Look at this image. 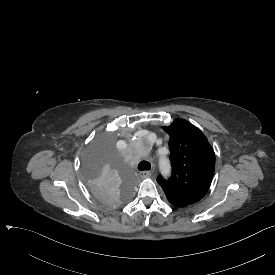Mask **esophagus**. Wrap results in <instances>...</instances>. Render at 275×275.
Segmentation results:
<instances>
[{
    "label": "esophagus",
    "instance_id": "esophagus-1",
    "mask_svg": "<svg viewBox=\"0 0 275 275\" xmlns=\"http://www.w3.org/2000/svg\"><path fill=\"white\" fill-rule=\"evenodd\" d=\"M139 176H140L141 178H148V177L151 176V172H150V171H140V172H139Z\"/></svg>",
    "mask_w": 275,
    "mask_h": 275
}]
</instances>
